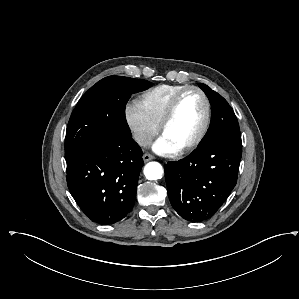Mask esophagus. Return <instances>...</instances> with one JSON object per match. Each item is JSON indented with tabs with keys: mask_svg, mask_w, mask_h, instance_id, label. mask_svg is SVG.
Segmentation results:
<instances>
[{
	"mask_svg": "<svg viewBox=\"0 0 299 299\" xmlns=\"http://www.w3.org/2000/svg\"><path fill=\"white\" fill-rule=\"evenodd\" d=\"M153 159H154V156L151 155V154H149V153H145V154L143 155V160H144V162H148V161L153 160Z\"/></svg>",
	"mask_w": 299,
	"mask_h": 299,
	"instance_id": "34e87169",
	"label": "esophagus"
}]
</instances>
